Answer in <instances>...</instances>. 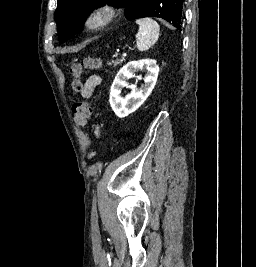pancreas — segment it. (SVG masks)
<instances>
[{
	"label": "pancreas",
	"instance_id": "1",
	"mask_svg": "<svg viewBox=\"0 0 256 267\" xmlns=\"http://www.w3.org/2000/svg\"><path fill=\"white\" fill-rule=\"evenodd\" d=\"M121 62H123V60H118V62H113V64L109 62V66H117V64H121Z\"/></svg>",
	"mask_w": 256,
	"mask_h": 267
}]
</instances>
